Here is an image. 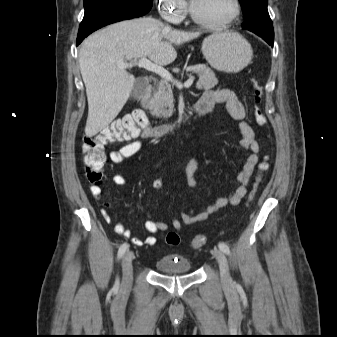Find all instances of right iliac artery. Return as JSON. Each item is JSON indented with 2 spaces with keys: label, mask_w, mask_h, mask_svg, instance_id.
<instances>
[{
  "label": "right iliac artery",
  "mask_w": 337,
  "mask_h": 337,
  "mask_svg": "<svg viewBox=\"0 0 337 337\" xmlns=\"http://www.w3.org/2000/svg\"><path fill=\"white\" fill-rule=\"evenodd\" d=\"M129 248V245L127 243H123L120 247H119V250H118V259L122 258L123 255L125 254L126 250ZM119 285V280L117 279L116 282H115V286L118 287Z\"/></svg>",
  "instance_id": "obj_1"
}]
</instances>
